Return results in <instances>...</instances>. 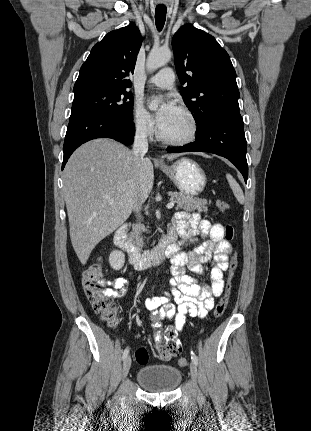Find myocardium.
Wrapping results in <instances>:
<instances>
[{"label": "myocardium", "instance_id": "obj_1", "mask_svg": "<svg viewBox=\"0 0 311 431\" xmlns=\"http://www.w3.org/2000/svg\"><path fill=\"white\" fill-rule=\"evenodd\" d=\"M180 110L191 120L193 127L192 133L185 138L167 139L163 136L161 129H159L158 138L164 144L171 146H185L194 142L200 133V122L194 111L188 107H181Z\"/></svg>", "mask_w": 311, "mask_h": 431}]
</instances>
